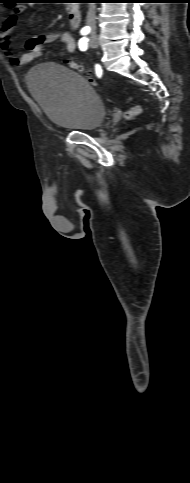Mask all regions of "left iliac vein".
I'll use <instances>...</instances> for the list:
<instances>
[{"label":"left iliac vein","instance_id":"obj_1","mask_svg":"<svg viewBox=\"0 0 190 483\" xmlns=\"http://www.w3.org/2000/svg\"><path fill=\"white\" fill-rule=\"evenodd\" d=\"M89 45L91 48H96L98 46V40L96 35H92L89 41Z\"/></svg>","mask_w":190,"mask_h":483}]
</instances>
